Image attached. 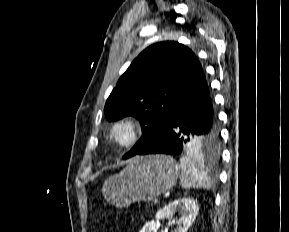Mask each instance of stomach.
I'll return each mask as SVG.
<instances>
[{
	"label": "stomach",
	"mask_w": 289,
	"mask_h": 232,
	"mask_svg": "<svg viewBox=\"0 0 289 232\" xmlns=\"http://www.w3.org/2000/svg\"><path fill=\"white\" fill-rule=\"evenodd\" d=\"M179 165L166 155H149L133 159L119 174L103 185L104 198L115 207L150 201L176 183Z\"/></svg>",
	"instance_id": "obj_1"
}]
</instances>
